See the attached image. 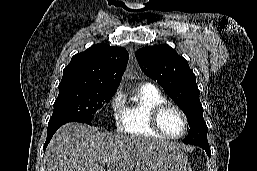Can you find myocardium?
<instances>
[{"label": "myocardium", "instance_id": "1", "mask_svg": "<svg viewBox=\"0 0 257 171\" xmlns=\"http://www.w3.org/2000/svg\"><path fill=\"white\" fill-rule=\"evenodd\" d=\"M169 108H173L176 111H178L183 119L184 130L180 135H177V136L169 135L168 133L165 132V130L161 126V117H162L163 113ZM150 125L155 132H157L158 134L163 136L165 139H172V140H177V139L182 138L183 136H185V134L187 133V131L189 129L188 117H187L186 113L184 112V110L177 104L169 102V101L163 102L153 108V110L151 112V117H150Z\"/></svg>", "mask_w": 257, "mask_h": 171}]
</instances>
